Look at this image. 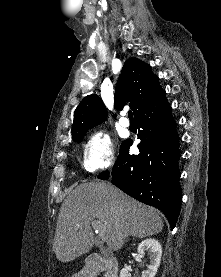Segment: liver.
Returning <instances> with one entry per match:
<instances>
[{
	"label": "liver",
	"instance_id": "1",
	"mask_svg": "<svg viewBox=\"0 0 221 277\" xmlns=\"http://www.w3.org/2000/svg\"><path fill=\"white\" fill-rule=\"evenodd\" d=\"M93 221L105 229L104 239L111 251L120 250L128 236L149 237L164 226L157 210L111 184L83 183L68 194L59 211L53 243L59 261H73L91 250Z\"/></svg>",
	"mask_w": 221,
	"mask_h": 277
}]
</instances>
